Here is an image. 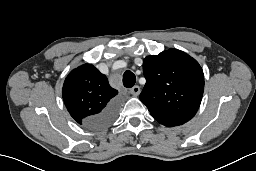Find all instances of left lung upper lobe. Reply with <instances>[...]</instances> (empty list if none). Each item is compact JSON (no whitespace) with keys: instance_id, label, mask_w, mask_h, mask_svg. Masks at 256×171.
<instances>
[{"instance_id":"left-lung-upper-lobe-1","label":"left lung upper lobe","mask_w":256,"mask_h":171,"mask_svg":"<svg viewBox=\"0 0 256 171\" xmlns=\"http://www.w3.org/2000/svg\"><path fill=\"white\" fill-rule=\"evenodd\" d=\"M143 72L146 84L140 100L155 120L173 127L196 114L203 95L204 75L194 58L171 48L146 57Z\"/></svg>"}]
</instances>
